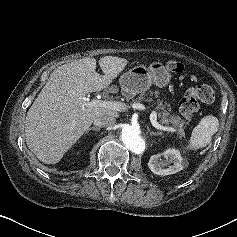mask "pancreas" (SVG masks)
Here are the masks:
<instances>
[{
  "mask_svg": "<svg viewBox=\"0 0 237 237\" xmlns=\"http://www.w3.org/2000/svg\"><path fill=\"white\" fill-rule=\"evenodd\" d=\"M153 95L155 97H158L159 92H154V93L147 92L145 94L143 93L139 97H137L135 100H133V103H137L140 101H151L152 99L150 98V96H153ZM146 96H149V99H147ZM158 101L159 103L156 109L159 111L158 117L160 119V122L165 125L172 124L174 127L177 128L181 136H184L185 135L184 130H183L184 122L181 120L179 116L170 115L169 112L171 111V108L169 107V104H167L166 102L163 103V101H160V100Z\"/></svg>",
  "mask_w": 237,
  "mask_h": 237,
  "instance_id": "obj_1",
  "label": "pancreas"
}]
</instances>
